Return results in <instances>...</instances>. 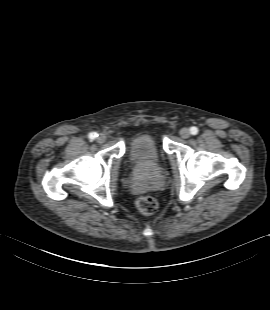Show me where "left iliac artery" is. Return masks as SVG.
<instances>
[{
    "instance_id": "44dca946",
    "label": "left iliac artery",
    "mask_w": 270,
    "mask_h": 310,
    "mask_svg": "<svg viewBox=\"0 0 270 310\" xmlns=\"http://www.w3.org/2000/svg\"><path fill=\"white\" fill-rule=\"evenodd\" d=\"M190 132L192 135H196L198 133V128L197 127H191Z\"/></svg>"
}]
</instances>
